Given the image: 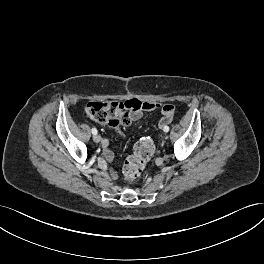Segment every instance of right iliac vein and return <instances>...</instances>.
<instances>
[{"instance_id":"obj_1","label":"right iliac vein","mask_w":264,"mask_h":264,"mask_svg":"<svg viewBox=\"0 0 264 264\" xmlns=\"http://www.w3.org/2000/svg\"><path fill=\"white\" fill-rule=\"evenodd\" d=\"M93 140H94V142L99 143V142L101 141V136L98 135V134H95V135L93 136Z\"/></svg>"}]
</instances>
